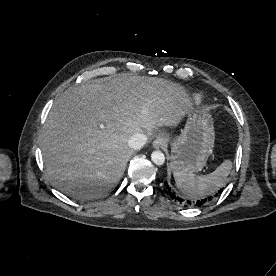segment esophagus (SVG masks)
I'll return each mask as SVG.
<instances>
[{"label": "esophagus", "mask_w": 276, "mask_h": 276, "mask_svg": "<svg viewBox=\"0 0 276 276\" xmlns=\"http://www.w3.org/2000/svg\"><path fill=\"white\" fill-rule=\"evenodd\" d=\"M166 143H167L166 137L164 135H160L154 140L153 146L155 148H162L166 145Z\"/></svg>", "instance_id": "1"}]
</instances>
